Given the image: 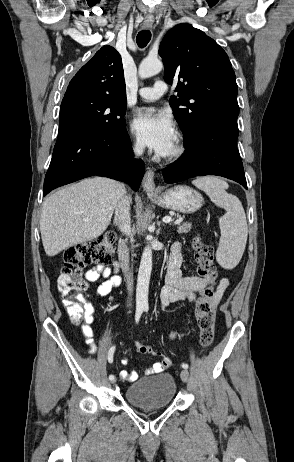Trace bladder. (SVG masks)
<instances>
[{"mask_svg": "<svg viewBox=\"0 0 294 462\" xmlns=\"http://www.w3.org/2000/svg\"><path fill=\"white\" fill-rule=\"evenodd\" d=\"M177 385L169 373H159L141 379L127 387L125 399L135 407L164 408L175 399Z\"/></svg>", "mask_w": 294, "mask_h": 462, "instance_id": "bladder-1", "label": "bladder"}]
</instances>
